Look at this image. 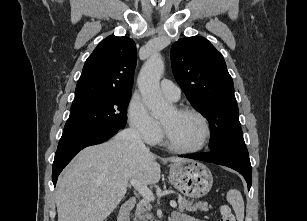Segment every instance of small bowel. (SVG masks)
<instances>
[{
  "label": "small bowel",
  "mask_w": 307,
  "mask_h": 221,
  "mask_svg": "<svg viewBox=\"0 0 307 221\" xmlns=\"http://www.w3.org/2000/svg\"><path fill=\"white\" fill-rule=\"evenodd\" d=\"M172 221H203L197 218L191 217L181 211H177L173 213Z\"/></svg>",
  "instance_id": "small-bowel-1"
}]
</instances>
